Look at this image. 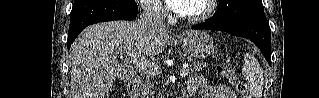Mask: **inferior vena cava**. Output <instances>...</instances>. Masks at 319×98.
Segmentation results:
<instances>
[{
    "instance_id": "1",
    "label": "inferior vena cava",
    "mask_w": 319,
    "mask_h": 98,
    "mask_svg": "<svg viewBox=\"0 0 319 98\" xmlns=\"http://www.w3.org/2000/svg\"><path fill=\"white\" fill-rule=\"evenodd\" d=\"M143 13L140 15V24L143 29L157 32L166 30L161 7L154 0H145L142 4Z\"/></svg>"
}]
</instances>
